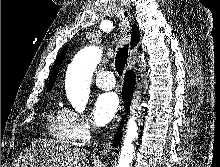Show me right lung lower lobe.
Listing matches in <instances>:
<instances>
[{"label":"right lung lower lobe","instance_id":"1","mask_svg":"<svg viewBox=\"0 0 220 167\" xmlns=\"http://www.w3.org/2000/svg\"><path fill=\"white\" fill-rule=\"evenodd\" d=\"M134 86H135V75L132 71H128L125 75V81L122 90V95L125 103L124 106L127 112L129 111ZM119 140H120V134L117 133L115 136V141H119Z\"/></svg>","mask_w":220,"mask_h":167}]
</instances>
